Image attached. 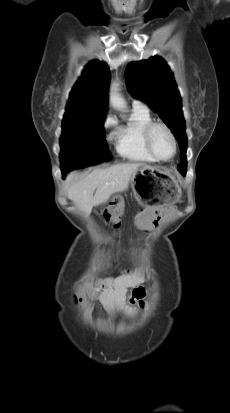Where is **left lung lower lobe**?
Instances as JSON below:
<instances>
[{"instance_id": "0a47b994", "label": "left lung lower lobe", "mask_w": 230, "mask_h": 413, "mask_svg": "<svg viewBox=\"0 0 230 413\" xmlns=\"http://www.w3.org/2000/svg\"><path fill=\"white\" fill-rule=\"evenodd\" d=\"M183 176H185L186 175V172H184V173H181Z\"/></svg>"}]
</instances>
